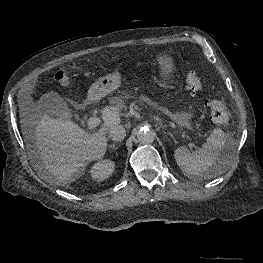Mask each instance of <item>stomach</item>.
<instances>
[{"mask_svg":"<svg viewBox=\"0 0 263 263\" xmlns=\"http://www.w3.org/2000/svg\"><path fill=\"white\" fill-rule=\"evenodd\" d=\"M160 66L161 75L168 78L173 71V57L168 53H160L157 57ZM121 84V76L118 69L112 74H108L98 79L88 91L89 100H99L105 95L116 90ZM166 114L172 117L178 124L183 127L190 128L189 118L187 113H170L166 108L162 109Z\"/></svg>","mask_w":263,"mask_h":263,"instance_id":"obj_1","label":"stomach"}]
</instances>
